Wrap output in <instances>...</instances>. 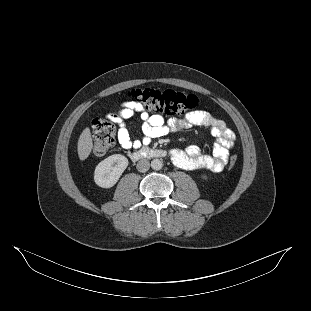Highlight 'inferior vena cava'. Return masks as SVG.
Returning <instances> with one entry per match:
<instances>
[{"instance_id":"inferior-vena-cava-1","label":"inferior vena cava","mask_w":311,"mask_h":311,"mask_svg":"<svg viewBox=\"0 0 311 311\" xmlns=\"http://www.w3.org/2000/svg\"><path fill=\"white\" fill-rule=\"evenodd\" d=\"M136 167H137V170H138L139 172L144 173V172H146V171L149 170V168H150V162H149L147 159H142V160L138 161Z\"/></svg>"}]
</instances>
